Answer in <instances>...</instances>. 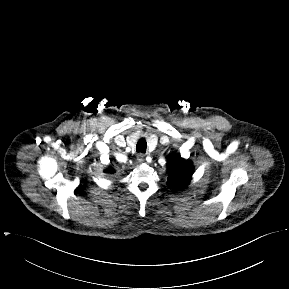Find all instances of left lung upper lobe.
Listing matches in <instances>:
<instances>
[{
	"label": "left lung upper lobe",
	"mask_w": 289,
	"mask_h": 289,
	"mask_svg": "<svg viewBox=\"0 0 289 289\" xmlns=\"http://www.w3.org/2000/svg\"><path fill=\"white\" fill-rule=\"evenodd\" d=\"M169 176L167 184L170 188L179 190L184 188L191 180L193 174L192 163L181 158L180 154H176L168 167Z\"/></svg>",
	"instance_id": "5c2ea615"
}]
</instances>
